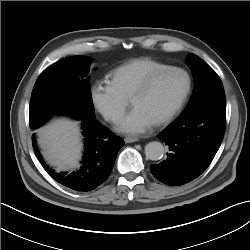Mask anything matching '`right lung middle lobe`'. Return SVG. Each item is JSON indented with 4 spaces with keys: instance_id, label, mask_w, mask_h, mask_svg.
<instances>
[{
    "instance_id": "dd1d6c3e",
    "label": "right lung middle lobe",
    "mask_w": 250,
    "mask_h": 250,
    "mask_svg": "<svg viewBox=\"0 0 250 250\" xmlns=\"http://www.w3.org/2000/svg\"><path fill=\"white\" fill-rule=\"evenodd\" d=\"M92 58L71 56L45 69L38 77L31 95L29 125L32 130L57 113L75 119H94L89 64Z\"/></svg>"
}]
</instances>
